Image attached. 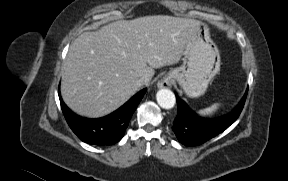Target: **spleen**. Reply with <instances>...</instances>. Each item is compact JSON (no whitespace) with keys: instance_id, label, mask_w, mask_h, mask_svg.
<instances>
[{"instance_id":"3e777b00","label":"spleen","mask_w":288,"mask_h":181,"mask_svg":"<svg viewBox=\"0 0 288 181\" xmlns=\"http://www.w3.org/2000/svg\"><path fill=\"white\" fill-rule=\"evenodd\" d=\"M219 107H220V104L219 103H215V104H213L212 106H210L208 108L199 110L198 113L200 115H210V114H213Z\"/></svg>"}]
</instances>
